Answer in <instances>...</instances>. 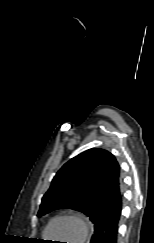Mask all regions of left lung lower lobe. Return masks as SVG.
I'll use <instances>...</instances> for the list:
<instances>
[{
    "label": "left lung lower lobe",
    "mask_w": 154,
    "mask_h": 243,
    "mask_svg": "<svg viewBox=\"0 0 154 243\" xmlns=\"http://www.w3.org/2000/svg\"><path fill=\"white\" fill-rule=\"evenodd\" d=\"M89 194L91 200L96 201L103 209L94 224V234L90 243H117L122 192L119 165L112 154L105 159Z\"/></svg>",
    "instance_id": "1"
}]
</instances>
